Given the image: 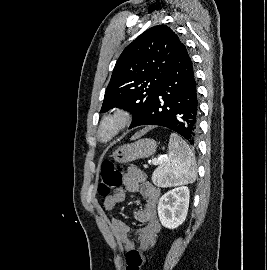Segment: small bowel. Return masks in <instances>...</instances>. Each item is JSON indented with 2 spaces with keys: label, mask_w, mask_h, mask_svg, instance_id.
<instances>
[{
  "label": "small bowel",
  "mask_w": 267,
  "mask_h": 270,
  "mask_svg": "<svg viewBox=\"0 0 267 270\" xmlns=\"http://www.w3.org/2000/svg\"><path fill=\"white\" fill-rule=\"evenodd\" d=\"M124 188L119 189L107 196L104 200V208L113 211L118 204L124 202L126 193H139L145 200V204L140 209L134 210V217L143 223V226L135 230L139 239V248L142 252L151 248L160 231V222L157 216V205L159 202L160 191L147 181L143 173L130 167L124 175ZM111 230L116 241L123 246L126 252L135 248V244L130 237L131 228L123 220L118 218L111 219Z\"/></svg>",
  "instance_id": "c3829d8e"
}]
</instances>
